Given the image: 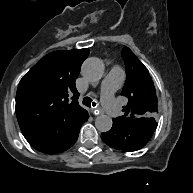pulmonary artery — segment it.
<instances>
[{
	"label": "pulmonary artery",
	"mask_w": 193,
	"mask_h": 193,
	"mask_svg": "<svg viewBox=\"0 0 193 193\" xmlns=\"http://www.w3.org/2000/svg\"><path fill=\"white\" fill-rule=\"evenodd\" d=\"M124 77V70L119 65H113L106 77L102 82V103L106 106L108 114L112 118H117L120 114L117 104L114 100V94L118 91L122 84V80Z\"/></svg>",
	"instance_id": "obj_1"
}]
</instances>
